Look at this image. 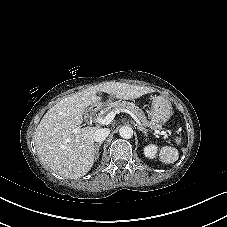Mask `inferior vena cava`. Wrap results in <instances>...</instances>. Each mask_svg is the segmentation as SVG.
<instances>
[{
  "label": "inferior vena cava",
  "mask_w": 227,
  "mask_h": 227,
  "mask_svg": "<svg viewBox=\"0 0 227 227\" xmlns=\"http://www.w3.org/2000/svg\"><path fill=\"white\" fill-rule=\"evenodd\" d=\"M110 130L108 128H99L93 133V140L95 142H103L109 135Z\"/></svg>",
  "instance_id": "obj_1"
}]
</instances>
